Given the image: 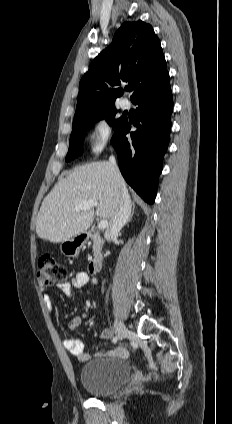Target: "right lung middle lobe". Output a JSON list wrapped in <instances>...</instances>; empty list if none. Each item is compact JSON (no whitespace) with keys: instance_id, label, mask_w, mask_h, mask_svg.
<instances>
[{"instance_id":"obj_1","label":"right lung middle lobe","mask_w":232,"mask_h":424,"mask_svg":"<svg viewBox=\"0 0 232 424\" xmlns=\"http://www.w3.org/2000/svg\"><path fill=\"white\" fill-rule=\"evenodd\" d=\"M117 109L115 106L107 107L93 111L89 114L81 116L73 121V129L70 136L69 151L66 156V161H70L81 155L83 147L82 140L85 132L97 121L105 119L110 126H113L117 131L126 121L125 118L116 119Z\"/></svg>"}]
</instances>
